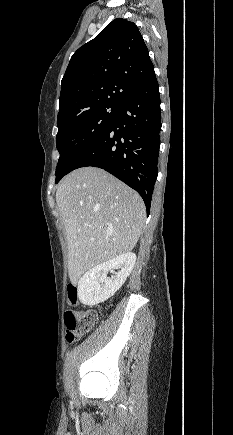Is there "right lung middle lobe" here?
I'll list each match as a JSON object with an SVG mask.
<instances>
[{
  "label": "right lung middle lobe",
  "instance_id": "dd1d6c3e",
  "mask_svg": "<svg viewBox=\"0 0 233 435\" xmlns=\"http://www.w3.org/2000/svg\"><path fill=\"white\" fill-rule=\"evenodd\" d=\"M118 111L119 106L104 105L57 123L56 147L60 158L56 167V183L100 140Z\"/></svg>",
  "mask_w": 233,
  "mask_h": 435
}]
</instances>
